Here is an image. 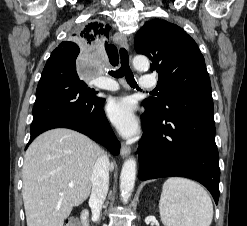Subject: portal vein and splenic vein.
Masks as SVG:
<instances>
[{"label":"portal vein and splenic vein","instance_id":"obj_1","mask_svg":"<svg viewBox=\"0 0 247 226\" xmlns=\"http://www.w3.org/2000/svg\"><path fill=\"white\" fill-rule=\"evenodd\" d=\"M73 186V184H70V187H72Z\"/></svg>","mask_w":247,"mask_h":226}]
</instances>
